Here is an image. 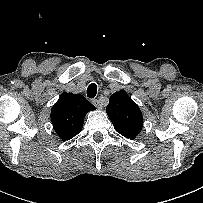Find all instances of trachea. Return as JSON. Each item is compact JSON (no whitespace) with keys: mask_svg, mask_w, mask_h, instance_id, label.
<instances>
[{"mask_svg":"<svg viewBox=\"0 0 203 203\" xmlns=\"http://www.w3.org/2000/svg\"><path fill=\"white\" fill-rule=\"evenodd\" d=\"M97 93V85L92 83L88 86L87 88V96L89 98H94L96 96Z\"/></svg>","mask_w":203,"mask_h":203,"instance_id":"obj_1","label":"trachea"}]
</instances>
